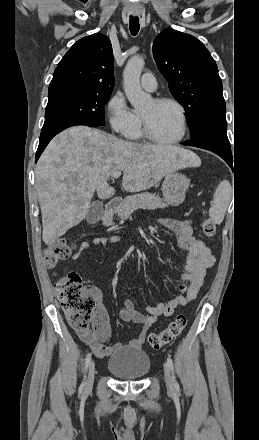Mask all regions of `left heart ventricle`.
<instances>
[{"instance_id":"1","label":"left heart ventricle","mask_w":259,"mask_h":440,"mask_svg":"<svg viewBox=\"0 0 259 440\" xmlns=\"http://www.w3.org/2000/svg\"><path fill=\"white\" fill-rule=\"evenodd\" d=\"M154 134L161 139L176 138L181 132L178 109L172 104H155L151 101L141 112Z\"/></svg>"}]
</instances>
